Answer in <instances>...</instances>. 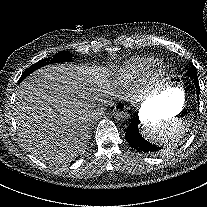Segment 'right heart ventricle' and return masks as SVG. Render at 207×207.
Segmentation results:
<instances>
[{
	"instance_id": "e07e8e85",
	"label": "right heart ventricle",
	"mask_w": 207,
	"mask_h": 207,
	"mask_svg": "<svg viewBox=\"0 0 207 207\" xmlns=\"http://www.w3.org/2000/svg\"><path fill=\"white\" fill-rule=\"evenodd\" d=\"M157 65L158 61L154 58H138L119 71L118 79L121 83H125L149 77Z\"/></svg>"
}]
</instances>
